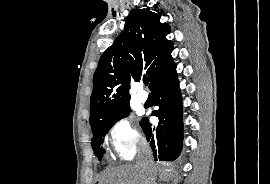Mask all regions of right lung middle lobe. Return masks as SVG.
I'll return each mask as SVG.
<instances>
[{"mask_svg":"<svg viewBox=\"0 0 270 184\" xmlns=\"http://www.w3.org/2000/svg\"><path fill=\"white\" fill-rule=\"evenodd\" d=\"M130 107L125 106L111 118L102 120L91 125L93 132L92 148L98 160L101 161L105 150L103 149L104 136L108 133L109 129L121 118L128 116Z\"/></svg>","mask_w":270,"mask_h":184,"instance_id":"1","label":"right lung middle lobe"}]
</instances>
